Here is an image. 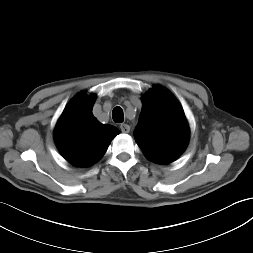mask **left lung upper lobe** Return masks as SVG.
<instances>
[{"instance_id": "1", "label": "left lung upper lobe", "mask_w": 253, "mask_h": 253, "mask_svg": "<svg viewBox=\"0 0 253 253\" xmlns=\"http://www.w3.org/2000/svg\"><path fill=\"white\" fill-rule=\"evenodd\" d=\"M134 137L150 161L168 164L186 149L189 127L179 102L160 85L144 96Z\"/></svg>"}]
</instances>
